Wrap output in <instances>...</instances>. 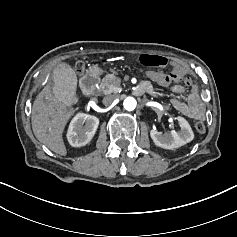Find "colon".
I'll return each instance as SVG.
<instances>
[{"label": "colon", "instance_id": "obj_1", "mask_svg": "<svg viewBox=\"0 0 237 237\" xmlns=\"http://www.w3.org/2000/svg\"><path fill=\"white\" fill-rule=\"evenodd\" d=\"M139 61L144 67L148 68H163L167 65V59L160 55L144 54L140 56ZM75 67L78 73H82L85 69L84 63L82 61H78ZM185 75L186 73L169 72L165 74L158 83L161 85H168ZM195 129L198 133L203 134L206 131V126L203 122L199 121L195 124Z\"/></svg>", "mask_w": 237, "mask_h": 237}]
</instances>
